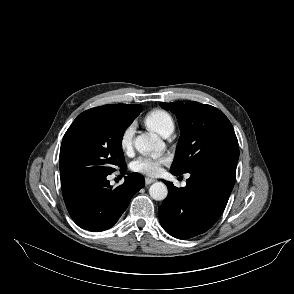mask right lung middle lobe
<instances>
[{"mask_svg": "<svg viewBox=\"0 0 294 294\" xmlns=\"http://www.w3.org/2000/svg\"><path fill=\"white\" fill-rule=\"evenodd\" d=\"M141 108L126 114L101 106L81 113L65 133L60 149L61 180L109 175L115 165L125 167L122 137Z\"/></svg>", "mask_w": 294, "mask_h": 294, "instance_id": "dd1d6c3e", "label": "right lung middle lobe"}]
</instances>
